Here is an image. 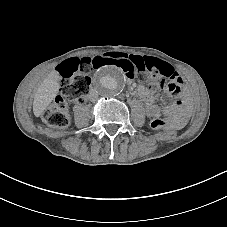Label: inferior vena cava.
<instances>
[{
    "mask_svg": "<svg viewBox=\"0 0 227 227\" xmlns=\"http://www.w3.org/2000/svg\"><path fill=\"white\" fill-rule=\"evenodd\" d=\"M98 92L94 89H90L89 94H88V98L91 102L97 101L98 99Z\"/></svg>",
    "mask_w": 227,
    "mask_h": 227,
    "instance_id": "obj_1",
    "label": "inferior vena cava"
}]
</instances>
